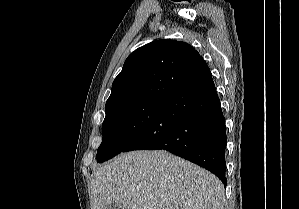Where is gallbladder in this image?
<instances>
[{
    "label": "gallbladder",
    "mask_w": 299,
    "mask_h": 209,
    "mask_svg": "<svg viewBox=\"0 0 299 209\" xmlns=\"http://www.w3.org/2000/svg\"><path fill=\"white\" fill-rule=\"evenodd\" d=\"M104 209H126V207L118 202L107 205Z\"/></svg>",
    "instance_id": "1"
}]
</instances>
